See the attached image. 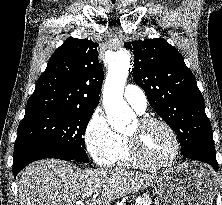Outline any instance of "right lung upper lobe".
I'll return each mask as SVG.
<instances>
[{
    "label": "right lung upper lobe",
    "mask_w": 222,
    "mask_h": 205,
    "mask_svg": "<svg viewBox=\"0 0 222 205\" xmlns=\"http://www.w3.org/2000/svg\"><path fill=\"white\" fill-rule=\"evenodd\" d=\"M97 46L88 39L68 38L39 77L25 114L51 109L94 110L104 78Z\"/></svg>",
    "instance_id": "cb5924a9"
}]
</instances>
